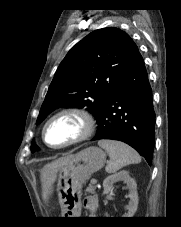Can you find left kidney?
Segmentation results:
<instances>
[{
    "label": "left kidney",
    "mask_w": 181,
    "mask_h": 227,
    "mask_svg": "<svg viewBox=\"0 0 181 227\" xmlns=\"http://www.w3.org/2000/svg\"><path fill=\"white\" fill-rule=\"evenodd\" d=\"M118 180L124 181L129 188L128 197L130 198V201L127 205L128 211L123 217H133L138 207V193L137 184L135 180L130 177L128 171L122 170L105 178L103 181L104 193H109L113 189V184Z\"/></svg>",
    "instance_id": "1"
}]
</instances>
